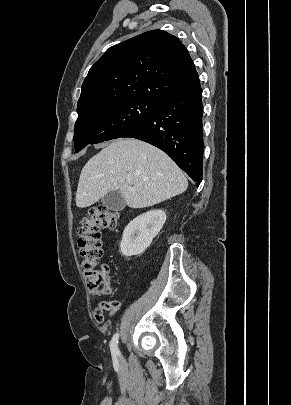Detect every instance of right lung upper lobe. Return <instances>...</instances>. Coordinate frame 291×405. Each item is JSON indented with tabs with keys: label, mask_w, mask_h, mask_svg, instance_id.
Returning a JSON list of instances; mask_svg holds the SVG:
<instances>
[{
	"label": "right lung upper lobe",
	"mask_w": 291,
	"mask_h": 405,
	"mask_svg": "<svg viewBox=\"0 0 291 405\" xmlns=\"http://www.w3.org/2000/svg\"><path fill=\"white\" fill-rule=\"evenodd\" d=\"M199 79L180 40L152 30L109 48L91 67L82 84L77 110L123 98L159 100Z\"/></svg>",
	"instance_id": "1"
}]
</instances>
